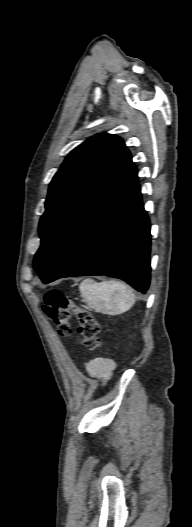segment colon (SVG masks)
<instances>
[{
    "label": "colon",
    "mask_w": 192,
    "mask_h": 527,
    "mask_svg": "<svg viewBox=\"0 0 192 527\" xmlns=\"http://www.w3.org/2000/svg\"><path fill=\"white\" fill-rule=\"evenodd\" d=\"M44 311L62 336H69L72 333L70 318L74 314L78 321L77 330L82 344L89 350H95L101 346L100 325L97 320L88 310L75 305L60 290L54 289L46 294Z\"/></svg>",
    "instance_id": "5ec220e1"
}]
</instances>
